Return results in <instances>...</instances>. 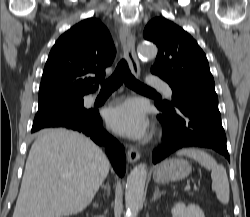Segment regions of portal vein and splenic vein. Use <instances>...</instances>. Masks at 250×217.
<instances>
[{"label":"portal vein and splenic vein","mask_w":250,"mask_h":217,"mask_svg":"<svg viewBox=\"0 0 250 217\" xmlns=\"http://www.w3.org/2000/svg\"><path fill=\"white\" fill-rule=\"evenodd\" d=\"M190 188H191L190 184H187V186L185 187L186 190H188ZM194 188H197V186L195 185Z\"/></svg>","instance_id":"obj_1"}]
</instances>
